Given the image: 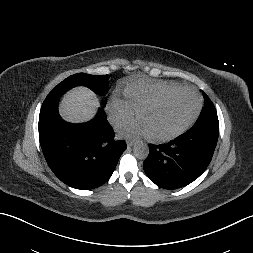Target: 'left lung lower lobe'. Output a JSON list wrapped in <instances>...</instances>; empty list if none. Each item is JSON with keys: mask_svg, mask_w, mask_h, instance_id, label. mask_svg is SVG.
Instances as JSON below:
<instances>
[{"mask_svg": "<svg viewBox=\"0 0 253 253\" xmlns=\"http://www.w3.org/2000/svg\"><path fill=\"white\" fill-rule=\"evenodd\" d=\"M219 135V125L195 124L168 144L149 145L143 169L164 189H177L196 180L208 167Z\"/></svg>", "mask_w": 253, "mask_h": 253, "instance_id": "obj_1", "label": "left lung lower lobe"}]
</instances>
